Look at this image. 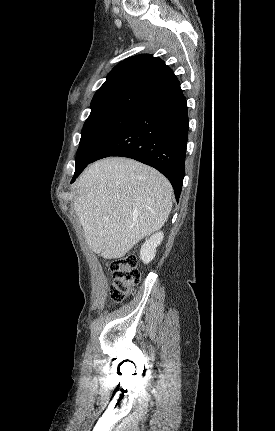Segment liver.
<instances>
[{
    "instance_id": "liver-1",
    "label": "liver",
    "mask_w": 275,
    "mask_h": 431,
    "mask_svg": "<svg viewBox=\"0 0 275 431\" xmlns=\"http://www.w3.org/2000/svg\"><path fill=\"white\" fill-rule=\"evenodd\" d=\"M77 188L74 210L87 244L105 259L123 257L159 230L172 208L170 182L157 170L128 158L89 165Z\"/></svg>"
}]
</instances>
